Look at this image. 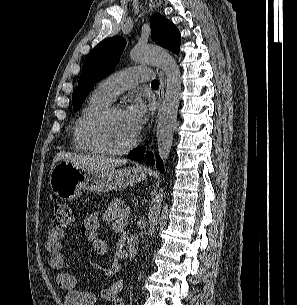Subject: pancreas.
<instances>
[{
	"mask_svg": "<svg viewBox=\"0 0 297 305\" xmlns=\"http://www.w3.org/2000/svg\"><path fill=\"white\" fill-rule=\"evenodd\" d=\"M103 217L109 223L125 218V210L122 207V202L118 199H113Z\"/></svg>",
	"mask_w": 297,
	"mask_h": 305,
	"instance_id": "obj_1",
	"label": "pancreas"
}]
</instances>
